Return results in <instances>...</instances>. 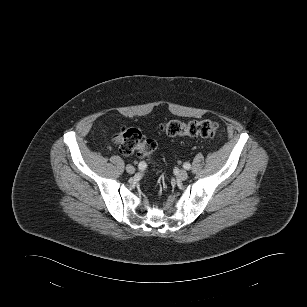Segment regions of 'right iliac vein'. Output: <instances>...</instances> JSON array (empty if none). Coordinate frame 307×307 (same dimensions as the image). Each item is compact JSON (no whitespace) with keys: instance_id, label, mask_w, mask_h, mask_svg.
Listing matches in <instances>:
<instances>
[{"instance_id":"1","label":"right iliac vein","mask_w":307,"mask_h":307,"mask_svg":"<svg viewBox=\"0 0 307 307\" xmlns=\"http://www.w3.org/2000/svg\"><path fill=\"white\" fill-rule=\"evenodd\" d=\"M126 171H127V173H129V174H133V173L135 172V168H134L133 166H131V165H128V166L126 167Z\"/></svg>"}]
</instances>
